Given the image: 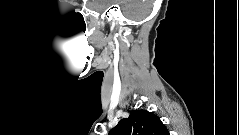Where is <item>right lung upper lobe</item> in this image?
Wrapping results in <instances>:
<instances>
[{
	"mask_svg": "<svg viewBox=\"0 0 239 135\" xmlns=\"http://www.w3.org/2000/svg\"><path fill=\"white\" fill-rule=\"evenodd\" d=\"M168 130L159 117L147 110H133L130 116L121 119L109 135H168Z\"/></svg>",
	"mask_w": 239,
	"mask_h": 135,
	"instance_id": "cb5924a9",
	"label": "right lung upper lobe"
}]
</instances>
